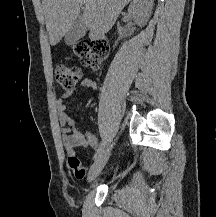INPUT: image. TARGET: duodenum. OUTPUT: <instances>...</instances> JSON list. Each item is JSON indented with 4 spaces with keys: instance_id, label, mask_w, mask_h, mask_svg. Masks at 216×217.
<instances>
[{
    "instance_id": "obj_1",
    "label": "duodenum",
    "mask_w": 216,
    "mask_h": 217,
    "mask_svg": "<svg viewBox=\"0 0 216 217\" xmlns=\"http://www.w3.org/2000/svg\"><path fill=\"white\" fill-rule=\"evenodd\" d=\"M91 38H93V39H105V36L102 33L92 32Z\"/></svg>"
}]
</instances>
